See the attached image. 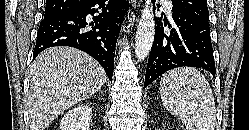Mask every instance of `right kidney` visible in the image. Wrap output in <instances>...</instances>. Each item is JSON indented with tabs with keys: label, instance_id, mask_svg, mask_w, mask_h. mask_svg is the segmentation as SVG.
Segmentation results:
<instances>
[{
	"label": "right kidney",
	"instance_id": "ca27d5eb",
	"mask_svg": "<svg viewBox=\"0 0 249 130\" xmlns=\"http://www.w3.org/2000/svg\"><path fill=\"white\" fill-rule=\"evenodd\" d=\"M91 112L87 105L69 110L60 122V130H89Z\"/></svg>",
	"mask_w": 249,
	"mask_h": 130
}]
</instances>
